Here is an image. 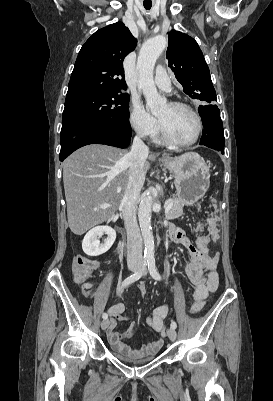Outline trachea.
<instances>
[{
  "instance_id": "trachea-1",
  "label": "trachea",
  "mask_w": 273,
  "mask_h": 401,
  "mask_svg": "<svg viewBox=\"0 0 273 401\" xmlns=\"http://www.w3.org/2000/svg\"><path fill=\"white\" fill-rule=\"evenodd\" d=\"M152 5H144V7L146 8V10H150Z\"/></svg>"
}]
</instances>
